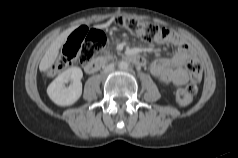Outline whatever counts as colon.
Returning a JSON list of instances; mask_svg holds the SVG:
<instances>
[{
  "instance_id": "1",
  "label": "colon",
  "mask_w": 238,
  "mask_h": 158,
  "mask_svg": "<svg viewBox=\"0 0 238 158\" xmlns=\"http://www.w3.org/2000/svg\"><path fill=\"white\" fill-rule=\"evenodd\" d=\"M116 24L132 36L146 42L156 41L165 37L167 30L150 22L131 18H117ZM105 36L101 31L79 27L74 30L63 44L55 63L48 69V76H54L74 62L85 64L90 62L95 53L104 45ZM186 68L191 76V82L177 90L175 98L180 106H187L198 91L197 84L202 77V65L196 58H191Z\"/></svg>"
}]
</instances>
